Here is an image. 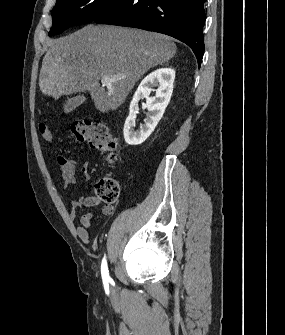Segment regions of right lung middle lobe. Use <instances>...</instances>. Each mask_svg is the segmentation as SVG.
I'll return each instance as SVG.
<instances>
[{
    "instance_id": "obj_1",
    "label": "right lung middle lobe",
    "mask_w": 285,
    "mask_h": 335,
    "mask_svg": "<svg viewBox=\"0 0 285 335\" xmlns=\"http://www.w3.org/2000/svg\"><path fill=\"white\" fill-rule=\"evenodd\" d=\"M120 0H57L52 12L53 25L49 36L62 33L67 28L91 22Z\"/></svg>"
}]
</instances>
